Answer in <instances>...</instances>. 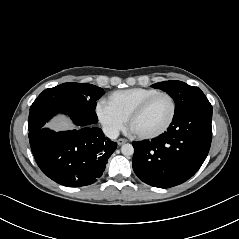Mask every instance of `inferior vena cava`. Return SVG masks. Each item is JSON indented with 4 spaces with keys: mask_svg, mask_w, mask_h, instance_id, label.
<instances>
[{
    "mask_svg": "<svg viewBox=\"0 0 239 239\" xmlns=\"http://www.w3.org/2000/svg\"><path fill=\"white\" fill-rule=\"evenodd\" d=\"M102 130H103V133L105 134V136L111 140H114V139L118 138V136H119V130L115 126L104 125Z\"/></svg>",
    "mask_w": 239,
    "mask_h": 239,
    "instance_id": "602c4592",
    "label": "inferior vena cava"
}]
</instances>
